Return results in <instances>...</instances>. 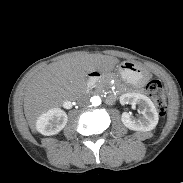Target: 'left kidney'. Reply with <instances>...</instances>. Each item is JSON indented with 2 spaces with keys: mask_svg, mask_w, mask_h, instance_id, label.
Returning <instances> with one entry per match:
<instances>
[{
  "mask_svg": "<svg viewBox=\"0 0 183 183\" xmlns=\"http://www.w3.org/2000/svg\"><path fill=\"white\" fill-rule=\"evenodd\" d=\"M120 103L137 104L140 115L134 117L130 112H123L121 116L122 123L130 130L151 131L158 124V112L150 98L139 93H125L120 96Z\"/></svg>",
  "mask_w": 183,
  "mask_h": 183,
  "instance_id": "left-kidney-1",
  "label": "left kidney"
}]
</instances>
